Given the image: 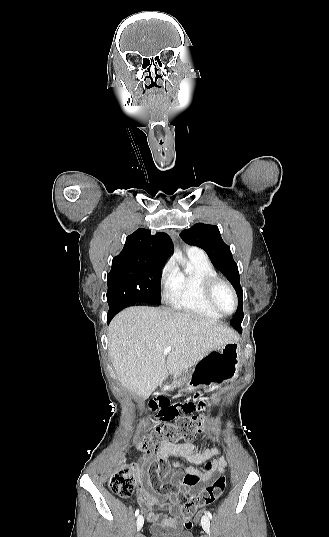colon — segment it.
<instances>
[{
  "label": "colon",
  "mask_w": 329,
  "mask_h": 537,
  "mask_svg": "<svg viewBox=\"0 0 329 537\" xmlns=\"http://www.w3.org/2000/svg\"><path fill=\"white\" fill-rule=\"evenodd\" d=\"M165 403H170V401L167 398H163V405ZM205 428V421L196 416L179 419L175 424L162 423L149 434L137 438V449L149 454L155 452L164 443H175L181 438L187 441H192L197 434L202 433ZM136 485V472L134 468L128 464L121 465L109 477L107 482L108 488L113 493L124 498L129 497L133 493ZM226 485V477L220 476L210 486L201 490L199 493L192 495L185 505L180 507L181 515L184 520L183 527L185 529H191L193 527L192 518L197 510L218 499L223 494Z\"/></svg>",
  "instance_id": "colon-1"
}]
</instances>
